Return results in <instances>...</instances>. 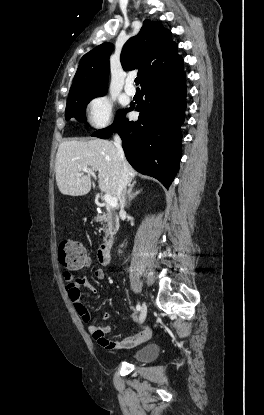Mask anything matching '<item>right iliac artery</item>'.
<instances>
[{"instance_id":"1","label":"right iliac artery","mask_w":264,"mask_h":415,"mask_svg":"<svg viewBox=\"0 0 264 415\" xmlns=\"http://www.w3.org/2000/svg\"><path fill=\"white\" fill-rule=\"evenodd\" d=\"M136 309H137V311H140V310H141V306L138 304V305L136 306Z\"/></svg>"}]
</instances>
